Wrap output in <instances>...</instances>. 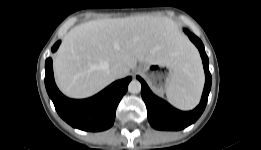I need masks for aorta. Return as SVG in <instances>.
Segmentation results:
<instances>
[{
    "mask_svg": "<svg viewBox=\"0 0 261 150\" xmlns=\"http://www.w3.org/2000/svg\"><path fill=\"white\" fill-rule=\"evenodd\" d=\"M128 91L133 94H137L141 91V83L140 81L134 79L129 83Z\"/></svg>",
    "mask_w": 261,
    "mask_h": 150,
    "instance_id": "obj_1",
    "label": "aorta"
}]
</instances>
